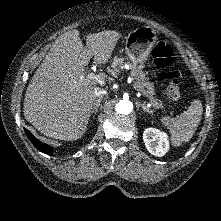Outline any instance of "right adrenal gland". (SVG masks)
I'll return each instance as SVG.
<instances>
[{"instance_id": "1", "label": "right adrenal gland", "mask_w": 221, "mask_h": 221, "mask_svg": "<svg viewBox=\"0 0 221 221\" xmlns=\"http://www.w3.org/2000/svg\"><path fill=\"white\" fill-rule=\"evenodd\" d=\"M102 99H103V98L100 97L99 99L96 100L95 106H94V108H93V110H92V114H94V115L97 114Z\"/></svg>"}]
</instances>
